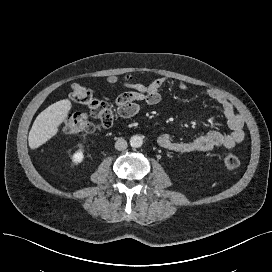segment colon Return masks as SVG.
<instances>
[{
	"instance_id": "5ec220e1",
	"label": "colon",
	"mask_w": 272,
	"mask_h": 272,
	"mask_svg": "<svg viewBox=\"0 0 272 272\" xmlns=\"http://www.w3.org/2000/svg\"><path fill=\"white\" fill-rule=\"evenodd\" d=\"M115 81V78H112ZM72 103L83 105L88 114H70L64 120V131L68 134L88 133L99 128H109L114 121L112 106L103 100L97 99L93 92L81 84H73L69 93ZM241 162L238 156L229 154L224 157V165L229 170H235Z\"/></svg>"
}]
</instances>
